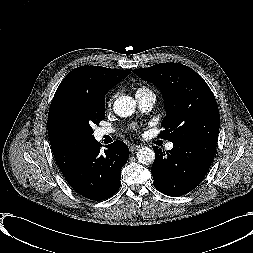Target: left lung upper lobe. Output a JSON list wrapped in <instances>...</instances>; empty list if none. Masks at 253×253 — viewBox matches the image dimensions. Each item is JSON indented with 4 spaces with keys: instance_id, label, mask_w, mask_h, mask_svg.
<instances>
[{
    "instance_id": "left-lung-upper-lobe-1",
    "label": "left lung upper lobe",
    "mask_w": 253,
    "mask_h": 253,
    "mask_svg": "<svg viewBox=\"0 0 253 253\" xmlns=\"http://www.w3.org/2000/svg\"><path fill=\"white\" fill-rule=\"evenodd\" d=\"M142 79L158 86L164 98L166 116L160 137L175 142L217 143L220 115L216 99L207 83L190 67L160 63L134 69Z\"/></svg>"
}]
</instances>
